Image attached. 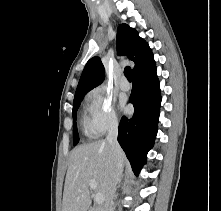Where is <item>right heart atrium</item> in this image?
I'll list each match as a JSON object with an SVG mask.
<instances>
[{
  "label": "right heart atrium",
  "instance_id": "right-heart-atrium-1",
  "mask_svg": "<svg viewBox=\"0 0 221 211\" xmlns=\"http://www.w3.org/2000/svg\"><path fill=\"white\" fill-rule=\"evenodd\" d=\"M88 128L95 135H103L118 127L119 121L112 98L101 88L87 95Z\"/></svg>",
  "mask_w": 221,
  "mask_h": 211
}]
</instances>
